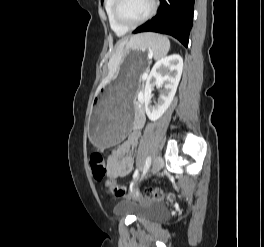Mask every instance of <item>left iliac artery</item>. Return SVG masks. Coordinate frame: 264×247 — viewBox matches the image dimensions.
<instances>
[{
  "mask_svg": "<svg viewBox=\"0 0 264 247\" xmlns=\"http://www.w3.org/2000/svg\"><path fill=\"white\" fill-rule=\"evenodd\" d=\"M150 165H151V157L148 156L147 159H146V161H145L144 167H143V173H142V177H141V179H142V178L145 176V174L147 173V171H148ZM137 173H138V169H136L134 175H136Z\"/></svg>",
  "mask_w": 264,
  "mask_h": 247,
  "instance_id": "44dca946",
  "label": "left iliac artery"
}]
</instances>
